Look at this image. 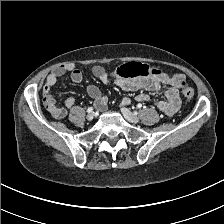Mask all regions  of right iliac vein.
<instances>
[{
  "label": "right iliac vein",
  "instance_id": "right-iliac-vein-1",
  "mask_svg": "<svg viewBox=\"0 0 224 224\" xmlns=\"http://www.w3.org/2000/svg\"><path fill=\"white\" fill-rule=\"evenodd\" d=\"M87 119H88L89 121H92V120L94 119V113H89V114L87 115Z\"/></svg>",
  "mask_w": 224,
  "mask_h": 224
}]
</instances>
